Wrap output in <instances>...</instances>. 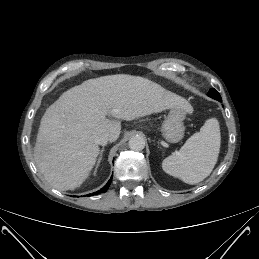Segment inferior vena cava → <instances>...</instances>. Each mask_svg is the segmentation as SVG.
<instances>
[{
  "mask_svg": "<svg viewBox=\"0 0 259 259\" xmlns=\"http://www.w3.org/2000/svg\"><path fill=\"white\" fill-rule=\"evenodd\" d=\"M108 141H110V134L107 132H102L95 137V143L97 145L104 146L108 143Z\"/></svg>",
  "mask_w": 259,
  "mask_h": 259,
  "instance_id": "1",
  "label": "inferior vena cava"
}]
</instances>
